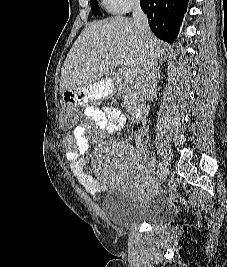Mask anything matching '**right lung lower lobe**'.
<instances>
[{
  "label": "right lung lower lobe",
  "instance_id": "1",
  "mask_svg": "<svg viewBox=\"0 0 227 267\" xmlns=\"http://www.w3.org/2000/svg\"><path fill=\"white\" fill-rule=\"evenodd\" d=\"M188 0H141L151 31L161 40L172 43L187 9Z\"/></svg>",
  "mask_w": 227,
  "mask_h": 267
}]
</instances>
